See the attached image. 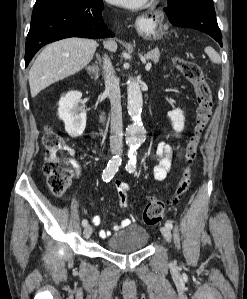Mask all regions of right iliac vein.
Instances as JSON below:
<instances>
[{
    "instance_id": "1",
    "label": "right iliac vein",
    "mask_w": 247,
    "mask_h": 299,
    "mask_svg": "<svg viewBox=\"0 0 247 299\" xmlns=\"http://www.w3.org/2000/svg\"><path fill=\"white\" fill-rule=\"evenodd\" d=\"M92 234V227L90 225H87L83 231V235L85 238H89Z\"/></svg>"
}]
</instances>
